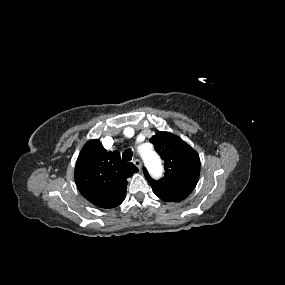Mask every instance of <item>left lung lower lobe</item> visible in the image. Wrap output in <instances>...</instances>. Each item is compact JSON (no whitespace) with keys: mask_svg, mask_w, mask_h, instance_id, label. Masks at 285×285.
<instances>
[{"mask_svg":"<svg viewBox=\"0 0 285 285\" xmlns=\"http://www.w3.org/2000/svg\"><path fill=\"white\" fill-rule=\"evenodd\" d=\"M154 193L163 201L179 202L184 200L190 193L178 190H166L152 187Z\"/></svg>","mask_w":285,"mask_h":285,"instance_id":"left-lung-lower-lobe-1","label":"left lung lower lobe"}]
</instances>
